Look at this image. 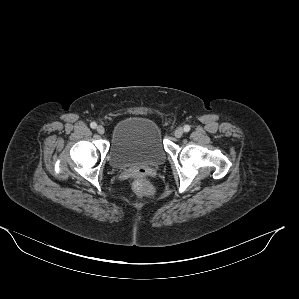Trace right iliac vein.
<instances>
[{
	"label": "right iliac vein",
	"instance_id": "1",
	"mask_svg": "<svg viewBox=\"0 0 299 299\" xmlns=\"http://www.w3.org/2000/svg\"><path fill=\"white\" fill-rule=\"evenodd\" d=\"M97 132L99 134H104L105 133V128L102 126V125H99L97 128H96Z\"/></svg>",
	"mask_w": 299,
	"mask_h": 299
}]
</instances>
